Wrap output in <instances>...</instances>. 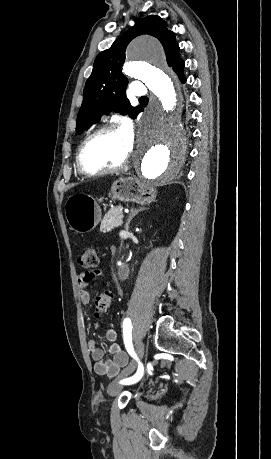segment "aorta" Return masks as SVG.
Returning a JSON list of instances; mask_svg holds the SVG:
<instances>
[{"mask_svg":"<svg viewBox=\"0 0 271 459\" xmlns=\"http://www.w3.org/2000/svg\"><path fill=\"white\" fill-rule=\"evenodd\" d=\"M126 54L129 62L123 68L124 73L141 79L152 92L138 132L135 167L144 180H170L180 172L187 152L180 120L178 81L156 39L138 37L129 44ZM127 267L122 254L110 274L118 279Z\"/></svg>","mask_w":271,"mask_h":459,"instance_id":"obj_1","label":"aorta"}]
</instances>
